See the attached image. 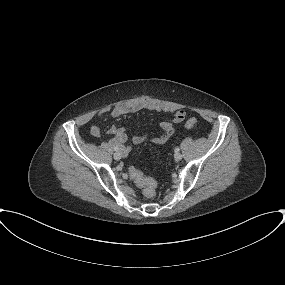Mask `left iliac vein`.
Returning <instances> with one entry per match:
<instances>
[{
  "label": "left iliac vein",
  "instance_id": "obj_1",
  "mask_svg": "<svg viewBox=\"0 0 285 285\" xmlns=\"http://www.w3.org/2000/svg\"><path fill=\"white\" fill-rule=\"evenodd\" d=\"M174 158H175L176 161H180L182 159V154L179 153V152H176L174 154Z\"/></svg>",
  "mask_w": 285,
  "mask_h": 285
}]
</instances>
